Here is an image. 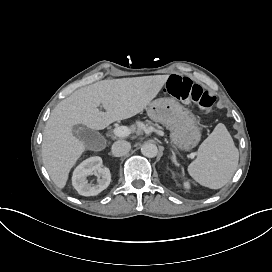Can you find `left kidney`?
<instances>
[{
  "mask_svg": "<svg viewBox=\"0 0 272 272\" xmlns=\"http://www.w3.org/2000/svg\"><path fill=\"white\" fill-rule=\"evenodd\" d=\"M183 185L185 189H190V183L188 181H185Z\"/></svg>",
  "mask_w": 272,
  "mask_h": 272,
  "instance_id": "obj_1",
  "label": "left kidney"
}]
</instances>
